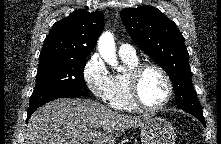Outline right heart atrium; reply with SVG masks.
<instances>
[{"label":"right heart atrium","instance_id":"right-heart-atrium-1","mask_svg":"<svg viewBox=\"0 0 221 144\" xmlns=\"http://www.w3.org/2000/svg\"><path fill=\"white\" fill-rule=\"evenodd\" d=\"M83 78L87 88L97 99L110 101L114 93L113 76L98 54H93L85 63Z\"/></svg>","mask_w":221,"mask_h":144}]
</instances>
